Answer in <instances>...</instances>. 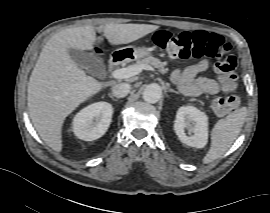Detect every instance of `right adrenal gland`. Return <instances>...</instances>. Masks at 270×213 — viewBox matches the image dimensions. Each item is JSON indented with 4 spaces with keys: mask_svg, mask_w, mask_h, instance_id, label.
<instances>
[{
    "mask_svg": "<svg viewBox=\"0 0 270 213\" xmlns=\"http://www.w3.org/2000/svg\"><path fill=\"white\" fill-rule=\"evenodd\" d=\"M113 101H118L116 98H114V96L112 94L108 95Z\"/></svg>",
    "mask_w": 270,
    "mask_h": 213,
    "instance_id": "obj_1",
    "label": "right adrenal gland"
}]
</instances>
